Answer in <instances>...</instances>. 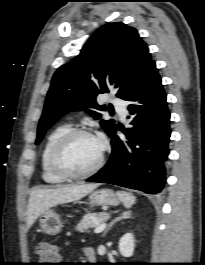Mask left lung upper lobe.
<instances>
[{
  "label": "left lung upper lobe",
  "instance_id": "5c2ea615",
  "mask_svg": "<svg viewBox=\"0 0 205 265\" xmlns=\"http://www.w3.org/2000/svg\"><path fill=\"white\" fill-rule=\"evenodd\" d=\"M154 65L135 28L122 22L101 27L77 57L55 72L38 124L36 144L67 112L87 107L106 110L96 103V96L108 93L111 87L118 91L117 97L125 100ZM91 115L100 118L94 111ZM100 124L109 136L117 128L114 120H101Z\"/></svg>",
  "mask_w": 205,
  "mask_h": 265
}]
</instances>
